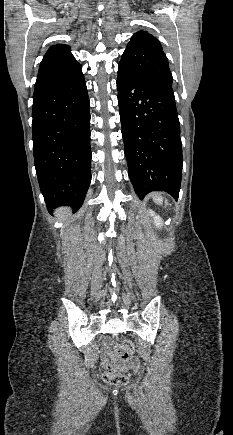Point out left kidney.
I'll use <instances>...</instances> for the list:
<instances>
[{
	"instance_id": "obj_1",
	"label": "left kidney",
	"mask_w": 233,
	"mask_h": 435,
	"mask_svg": "<svg viewBox=\"0 0 233 435\" xmlns=\"http://www.w3.org/2000/svg\"><path fill=\"white\" fill-rule=\"evenodd\" d=\"M149 212H150V215L153 216V218L155 220L154 222H155L156 226H158V227L161 226L162 225V219L160 218V216L155 215V213L152 210H150Z\"/></svg>"
}]
</instances>
